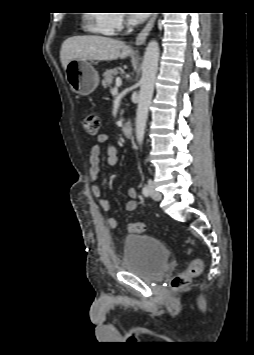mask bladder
Masks as SVG:
<instances>
[{"mask_svg": "<svg viewBox=\"0 0 254 355\" xmlns=\"http://www.w3.org/2000/svg\"><path fill=\"white\" fill-rule=\"evenodd\" d=\"M168 265L169 251L162 241L146 235H130L125 238L123 267L126 271L157 280Z\"/></svg>", "mask_w": 254, "mask_h": 355, "instance_id": "obj_1", "label": "bladder"}]
</instances>
